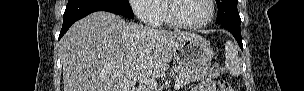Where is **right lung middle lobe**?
Wrapping results in <instances>:
<instances>
[{"label": "right lung middle lobe", "mask_w": 304, "mask_h": 91, "mask_svg": "<svg viewBox=\"0 0 304 91\" xmlns=\"http://www.w3.org/2000/svg\"><path fill=\"white\" fill-rule=\"evenodd\" d=\"M115 7L122 13L124 17L133 18L134 14L128 0H112Z\"/></svg>", "instance_id": "dd1d6c3e"}]
</instances>
